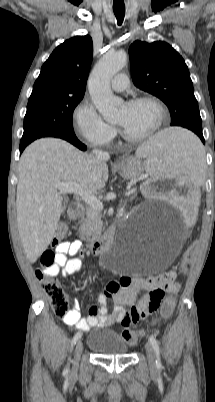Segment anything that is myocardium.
<instances>
[{
	"label": "myocardium",
	"mask_w": 215,
	"mask_h": 402,
	"mask_svg": "<svg viewBox=\"0 0 215 402\" xmlns=\"http://www.w3.org/2000/svg\"><path fill=\"white\" fill-rule=\"evenodd\" d=\"M141 102H148L151 103L155 106L157 113H158V117H157V122L155 124V126L147 133L140 135V136H131L129 134H127L126 132H124L122 130V128H119V132L122 136V138L128 142H132V143H138V142H143L146 141L150 138H152L154 135H156L160 129L162 128L165 118H166V110L164 105L162 104V102L154 97V96H150V95H143V96H137V97H133L131 99H129L125 104L126 105H134L137 103H141Z\"/></svg>",
	"instance_id": "f54148a6"
}]
</instances>
